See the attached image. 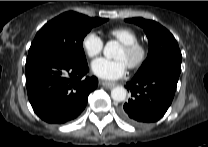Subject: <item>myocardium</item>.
<instances>
[{
    "label": "myocardium",
    "instance_id": "obj_1",
    "mask_svg": "<svg viewBox=\"0 0 208 147\" xmlns=\"http://www.w3.org/2000/svg\"><path fill=\"white\" fill-rule=\"evenodd\" d=\"M122 48L134 56L133 61L128 65L130 69L141 67L148 57L147 47L140 42L122 44Z\"/></svg>",
    "mask_w": 208,
    "mask_h": 147
}]
</instances>
